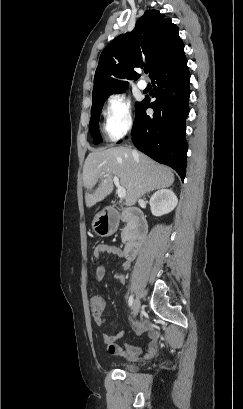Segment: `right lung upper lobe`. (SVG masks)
Wrapping results in <instances>:
<instances>
[{"instance_id":"obj_1","label":"right lung upper lobe","mask_w":243,"mask_h":409,"mask_svg":"<svg viewBox=\"0 0 243 409\" xmlns=\"http://www.w3.org/2000/svg\"><path fill=\"white\" fill-rule=\"evenodd\" d=\"M183 46L178 27L157 10H147L132 32L116 37L102 51L94 76L93 101L128 87V79H138L133 71L145 63L150 78Z\"/></svg>"}]
</instances>
